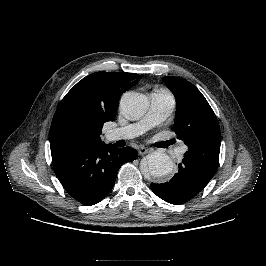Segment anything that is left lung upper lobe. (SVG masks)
Wrapping results in <instances>:
<instances>
[{
    "mask_svg": "<svg viewBox=\"0 0 266 266\" xmlns=\"http://www.w3.org/2000/svg\"><path fill=\"white\" fill-rule=\"evenodd\" d=\"M163 80L177 97L174 131L188 146L184 159L215 174L221 144L215 113L192 83L178 77H163Z\"/></svg>",
    "mask_w": 266,
    "mask_h": 266,
    "instance_id": "1",
    "label": "left lung upper lobe"
}]
</instances>
